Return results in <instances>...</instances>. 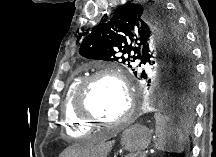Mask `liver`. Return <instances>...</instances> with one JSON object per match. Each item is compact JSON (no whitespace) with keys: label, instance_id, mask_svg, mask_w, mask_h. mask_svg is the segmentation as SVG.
Here are the masks:
<instances>
[{"label":"liver","instance_id":"6515ba94","mask_svg":"<svg viewBox=\"0 0 216 157\" xmlns=\"http://www.w3.org/2000/svg\"><path fill=\"white\" fill-rule=\"evenodd\" d=\"M110 144L101 138L97 141H89L83 145H73L67 148L60 157H103L107 155Z\"/></svg>","mask_w":216,"mask_h":157}]
</instances>
